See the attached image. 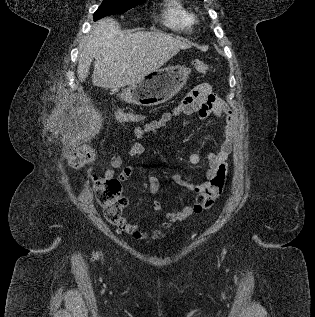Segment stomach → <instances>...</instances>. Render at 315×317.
Listing matches in <instances>:
<instances>
[{
    "label": "stomach",
    "mask_w": 315,
    "mask_h": 317,
    "mask_svg": "<svg viewBox=\"0 0 315 317\" xmlns=\"http://www.w3.org/2000/svg\"><path fill=\"white\" fill-rule=\"evenodd\" d=\"M188 74L184 65L157 69L136 83L128 84L127 94L130 98H137L139 105L156 106L173 98L186 84Z\"/></svg>",
    "instance_id": "stomach-1"
}]
</instances>
